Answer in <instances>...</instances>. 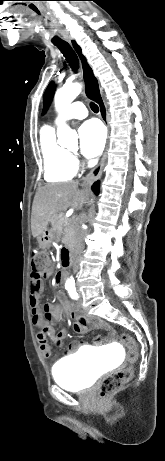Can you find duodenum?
<instances>
[{
    "label": "duodenum",
    "instance_id": "1",
    "mask_svg": "<svg viewBox=\"0 0 165 461\" xmlns=\"http://www.w3.org/2000/svg\"><path fill=\"white\" fill-rule=\"evenodd\" d=\"M62 259L64 264L67 266L70 263V249L65 246V248L62 250Z\"/></svg>",
    "mask_w": 165,
    "mask_h": 461
}]
</instances>
